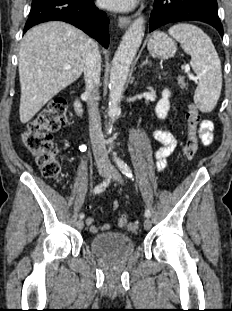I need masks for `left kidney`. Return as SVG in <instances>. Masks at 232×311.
I'll return each instance as SVG.
<instances>
[{"label": "left kidney", "instance_id": "1", "mask_svg": "<svg viewBox=\"0 0 232 311\" xmlns=\"http://www.w3.org/2000/svg\"><path fill=\"white\" fill-rule=\"evenodd\" d=\"M171 93L168 89L162 92V98L159 100L155 107V113L159 119H165L170 109L169 97Z\"/></svg>", "mask_w": 232, "mask_h": 311}]
</instances>
